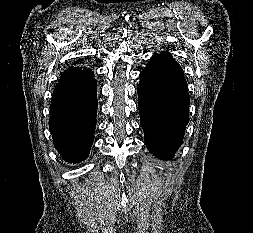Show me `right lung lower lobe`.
<instances>
[{
	"mask_svg": "<svg viewBox=\"0 0 253 233\" xmlns=\"http://www.w3.org/2000/svg\"><path fill=\"white\" fill-rule=\"evenodd\" d=\"M96 90L92 70L73 66L54 89L49 128L57 151L67 162H79L89 154L96 125Z\"/></svg>",
	"mask_w": 253,
	"mask_h": 233,
	"instance_id": "obj_1",
	"label": "right lung lower lobe"
}]
</instances>
